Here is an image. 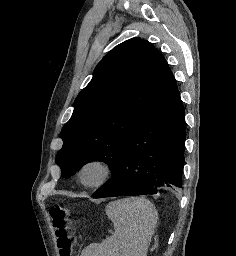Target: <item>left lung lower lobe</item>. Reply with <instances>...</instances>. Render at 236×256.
I'll list each match as a JSON object with an SVG mask.
<instances>
[{
    "label": "left lung lower lobe",
    "instance_id": "left-lung-lower-lobe-1",
    "mask_svg": "<svg viewBox=\"0 0 236 256\" xmlns=\"http://www.w3.org/2000/svg\"><path fill=\"white\" fill-rule=\"evenodd\" d=\"M185 111L177 90L136 125L112 177L94 198L156 194L159 186H182Z\"/></svg>",
    "mask_w": 236,
    "mask_h": 256
}]
</instances>
